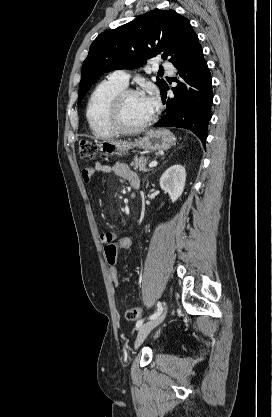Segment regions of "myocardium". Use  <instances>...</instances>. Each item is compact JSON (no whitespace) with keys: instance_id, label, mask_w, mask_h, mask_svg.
Here are the masks:
<instances>
[{"instance_id":"1","label":"myocardium","mask_w":272,"mask_h":417,"mask_svg":"<svg viewBox=\"0 0 272 417\" xmlns=\"http://www.w3.org/2000/svg\"><path fill=\"white\" fill-rule=\"evenodd\" d=\"M134 95H141L138 90L135 89H124L119 92L111 101L109 110H108V123L110 127L116 132L121 134H134L143 131L149 127L155 120V114L143 124L135 127H128L124 125L121 121V112L125 100Z\"/></svg>"}]
</instances>
